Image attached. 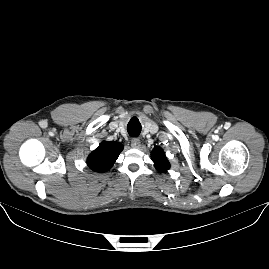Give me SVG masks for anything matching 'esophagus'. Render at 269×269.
<instances>
[{
  "mask_svg": "<svg viewBox=\"0 0 269 269\" xmlns=\"http://www.w3.org/2000/svg\"><path fill=\"white\" fill-rule=\"evenodd\" d=\"M140 146H141V141L139 139L134 138L131 140L132 148L138 149Z\"/></svg>",
  "mask_w": 269,
  "mask_h": 269,
  "instance_id": "esophagus-1",
  "label": "esophagus"
}]
</instances>
